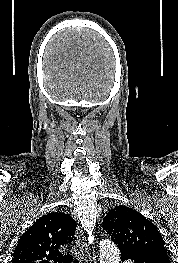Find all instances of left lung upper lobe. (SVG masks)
<instances>
[{
  "label": "left lung upper lobe",
  "mask_w": 178,
  "mask_h": 263,
  "mask_svg": "<svg viewBox=\"0 0 178 263\" xmlns=\"http://www.w3.org/2000/svg\"><path fill=\"white\" fill-rule=\"evenodd\" d=\"M103 230L119 250L133 255L150 254L168 257L164 240L157 227L139 212L117 206L105 216Z\"/></svg>",
  "instance_id": "5c2ea615"
}]
</instances>
